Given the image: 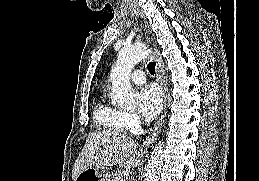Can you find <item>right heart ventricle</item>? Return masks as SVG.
<instances>
[{"label": "right heart ventricle", "instance_id": "1", "mask_svg": "<svg viewBox=\"0 0 259 181\" xmlns=\"http://www.w3.org/2000/svg\"><path fill=\"white\" fill-rule=\"evenodd\" d=\"M98 127L110 131H123L126 129L124 112L106 102L101 96L95 106L93 114Z\"/></svg>", "mask_w": 259, "mask_h": 181}]
</instances>
